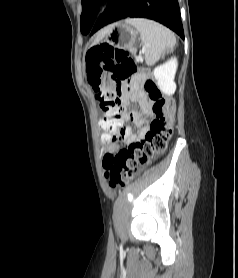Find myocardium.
I'll list each match as a JSON object with an SVG mask.
<instances>
[{
  "label": "myocardium",
  "mask_w": 238,
  "mask_h": 278,
  "mask_svg": "<svg viewBox=\"0 0 238 278\" xmlns=\"http://www.w3.org/2000/svg\"><path fill=\"white\" fill-rule=\"evenodd\" d=\"M107 5H108L107 1L102 2L97 8V12L98 13L103 12L106 9Z\"/></svg>",
  "instance_id": "obj_1"
}]
</instances>
